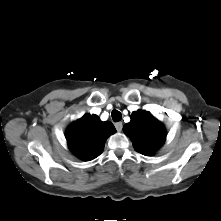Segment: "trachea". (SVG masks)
<instances>
[{
  "label": "trachea",
  "mask_w": 221,
  "mask_h": 221,
  "mask_svg": "<svg viewBox=\"0 0 221 221\" xmlns=\"http://www.w3.org/2000/svg\"><path fill=\"white\" fill-rule=\"evenodd\" d=\"M111 116L114 122H118L122 119V114L118 110H113Z\"/></svg>",
  "instance_id": "3493384b"
}]
</instances>
